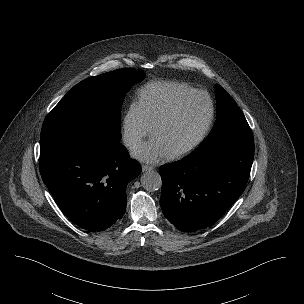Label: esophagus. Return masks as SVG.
<instances>
[{
    "mask_svg": "<svg viewBox=\"0 0 304 304\" xmlns=\"http://www.w3.org/2000/svg\"><path fill=\"white\" fill-rule=\"evenodd\" d=\"M154 167L151 166V165H146V164H143L142 165V171L145 172V171H150V170H153Z\"/></svg>",
    "mask_w": 304,
    "mask_h": 304,
    "instance_id": "1",
    "label": "esophagus"
}]
</instances>
